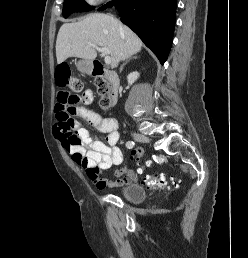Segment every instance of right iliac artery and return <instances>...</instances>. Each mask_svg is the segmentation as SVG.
<instances>
[{
	"mask_svg": "<svg viewBox=\"0 0 248 258\" xmlns=\"http://www.w3.org/2000/svg\"><path fill=\"white\" fill-rule=\"evenodd\" d=\"M134 145H135V142H134V141H128V142L126 143V147L129 148V149L133 148Z\"/></svg>",
	"mask_w": 248,
	"mask_h": 258,
	"instance_id": "1",
	"label": "right iliac artery"
}]
</instances>
